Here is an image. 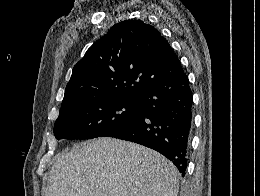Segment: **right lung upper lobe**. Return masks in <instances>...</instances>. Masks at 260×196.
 I'll return each instance as SVG.
<instances>
[{
	"label": "right lung upper lobe",
	"instance_id": "obj_1",
	"mask_svg": "<svg viewBox=\"0 0 260 196\" xmlns=\"http://www.w3.org/2000/svg\"><path fill=\"white\" fill-rule=\"evenodd\" d=\"M184 71L168 41L150 24L125 20L74 66L61 109L106 94L139 98Z\"/></svg>",
	"mask_w": 260,
	"mask_h": 196
}]
</instances>
